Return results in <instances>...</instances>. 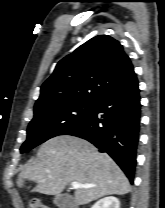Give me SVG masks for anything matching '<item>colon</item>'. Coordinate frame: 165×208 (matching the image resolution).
Masks as SVG:
<instances>
[{
  "mask_svg": "<svg viewBox=\"0 0 165 208\" xmlns=\"http://www.w3.org/2000/svg\"><path fill=\"white\" fill-rule=\"evenodd\" d=\"M30 208H48L41 200L33 199L30 202Z\"/></svg>",
  "mask_w": 165,
  "mask_h": 208,
  "instance_id": "obj_1",
  "label": "colon"
}]
</instances>
